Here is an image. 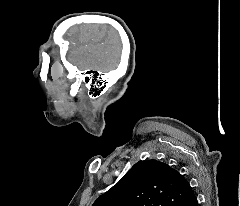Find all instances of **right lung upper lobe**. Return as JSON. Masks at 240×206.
<instances>
[{
  "label": "right lung upper lobe",
  "instance_id": "cb5924a9",
  "mask_svg": "<svg viewBox=\"0 0 240 206\" xmlns=\"http://www.w3.org/2000/svg\"><path fill=\"white\" fill-rule=\"evenodd\" d=\"M195 196L178 171L157 160L139 161L92 206H181Z\"/></svg>",
  "mask_w": 240,
  "mask_h": 206
}]
</instances>
